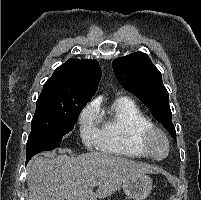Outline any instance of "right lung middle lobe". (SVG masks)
Returning <instances> with one entry per match:
<instances>
[{
    "mask_svg": "<svg viewBox=\"0 0 201 200\" xmlns=\"http://www.w3.org/2000/svg\"><path fill=\"white\" fill-rule=\"evenodd\" d=\"M89 101L90 99L59 100L39 96L27 143H60L74 129L80 111Z\"/></svg>",
    "mask_w": 201,
    "mask_h": 200,
    "instance_id": "obj_1",
    "label": "right lung middle lobe"
}]
</instances>
